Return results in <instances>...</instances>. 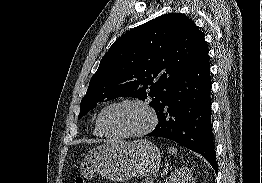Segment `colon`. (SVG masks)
Masks as SVG:
<instances>
[{"instance_id": "obj_1", "label": "colon", "mask_w": 262, "mask_h": 183, "mask_svg": "<svg viewBox=\"0 0 262 183\" xmlns=\"http://www.w3.org/2000/svg\"><path fill=\"white\" fill-rule=\"evenodd\" d=\"M76 183H84L83 179L81 177L76 179Z\"/></svg>"}]
</instances>
